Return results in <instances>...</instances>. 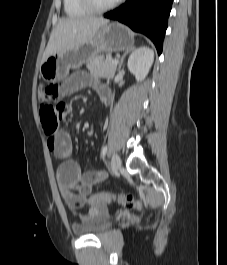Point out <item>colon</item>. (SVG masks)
Here are the masks:
<instances>
[{
    "instance_id": "5ec220e1",
    "label": "colon",
    "mask_w": 227,
    "mask_h": 265,
    "mask_svg": "<svg viewBox=\"0 0 227 265\" xmlns=\"http://www.w3.org/2000/svg\"><path fill=\"white\" fill-rule=\"evenodd\" d=\"M38 94L41 121L46 134L51 135L57 130L58 122L64 114V112L57 111V103H55L59 96V86H55V84L41 85L39 86ZM112 201L122 205L125 210L140 211L142 209L141 202L132 195L127 194H95L90 197L89 204L97 207Z\"/></svg>"
}]
</instances>
